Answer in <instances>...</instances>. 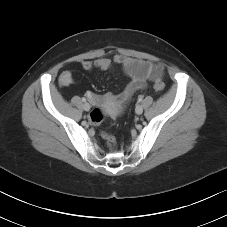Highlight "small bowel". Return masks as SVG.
<instances>
[{"mask_svg":"<svg viewBox=\"0 0 227 227\" xmlns=\"http://www.w3.org/2000/svg\"><path fill=\"white\" fill-rule=\"evenodd\" d=\"M113 64L122 67L123 72L128 77V82L119 94L106 93L103 95L88 91L87 98L94 104L108 103L114 106V113L118 114L130 101L134 93L146 87L148 81H157L162 70L159 66L153 65L147 61L135 58L116 55L113 59L101 57L94 60H83L81 67L86 71L98 69L107 71L111 69ZM73 82L71 71L65 70L58 77V84L61 87L70 85Z\"/></svg>","mask_w":227,"mask_h":227,"instance_id":"1","label":"small bowel"}]
</instances>
